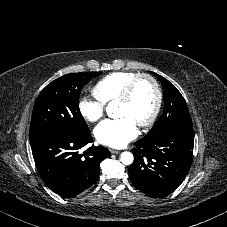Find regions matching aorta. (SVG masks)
I'll return each instance as SVG.
<instances>
[{
  "label": "aorta",
  "mask_w": 227,
  "mask_h": 227,
  "mask_svg": "<svg viewBox=\"0 0 227 227\" xmlns=\"http://www.w3.org/2000/svg\"><path fill=\"white\" fill-rule=\"evenodd\" d=\"M106 111H107V114H108L109 117H112L113 116V114H112V105L111 104H109L107 106ZM133 160H134V157H133V154L132 153L127 152V151L121 153L120 161L123 164L130 165V164H132Z\"/></svg>",
  "instance_id": "762f6f07"
}]
</instances>
